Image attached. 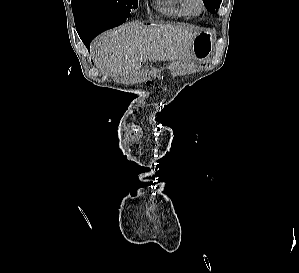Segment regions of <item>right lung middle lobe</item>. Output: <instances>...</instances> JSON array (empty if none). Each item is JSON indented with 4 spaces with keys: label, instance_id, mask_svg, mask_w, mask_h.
I'll list each match as a JSON object with an SVG mask.
<instances>
[{
    "label": "right lung middle lobe",
    "instance_id": "right-lung-middle-lobe-1",
    "mask_svg": "<svg viewBox=\"0 0 299 273\" xmlns=\"http://www.w3.org/2000/svg\"><path fill=\"white\" fill-rule=\"evenodd\" d=\"M137 7L138 0H72L77 29L127 18Z\"/></svg>",
    "mask_w": 299,
    "mask_h": 273
}]
</instances>
